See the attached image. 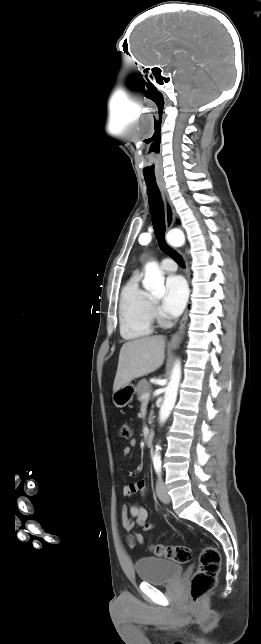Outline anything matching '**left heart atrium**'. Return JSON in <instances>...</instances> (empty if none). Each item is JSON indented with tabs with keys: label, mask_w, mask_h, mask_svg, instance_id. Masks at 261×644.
I'll use <instances>...</instances> for the list:
<instances>
[{
	"label": "left heart atrium",
	"mask_w": 261,
	"mask_h": 644,
	"mask_svg": "<svg viewBox=\"0 0 261 644\" xmlns=\"http://www.w3.org/2000/svg\"><path fill=\"white\" fill-rule=\"evenodd\" d=\"M188 297L187 285L178 275L166 280V293L162 303L163 312L169 317H176L183 311Z\"/></svg>",
	"instance_id": "obj_1"
}]
</instances>
